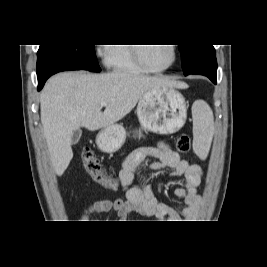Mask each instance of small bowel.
Wrapping results in <instances>:
<instances>
[{
  "instance_id": "c3829d8e",
  "label": "small bowel",
  "mask_w": 267,
  "mask_h": 267,
  "mask_svg": "<svg viewBox=\"0 0 267 267\" xmlns=\"http://www.w3.org/2000/svg\"><path fill=\"white\" fill-rule=\"evenodd\" d=\"M148 157L156 158L147 170L158 171L171 169V176L183 178V186L174 190L176 198L183 200L184 206L176 212L170 206L157 200L151 185L140 186L135 181V170ZM203 171L197 164H190L183 159L168 144L160 142L154 147H140L132 151L124 160L123 167L118 174V183L125 198L114 201L97 200L82 213L81 222H87L93 213H107L114 211L121 221L127 220L132 212L152 217L156 220H193L199 212L201 198L197 188L201 183Z\"/></svg>"
}]
</instances>
